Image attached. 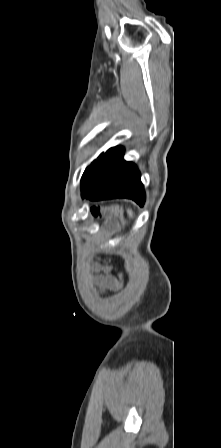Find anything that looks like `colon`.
<instances>
[{
	"label": "colon",
	"mask_w": 221,
	"mask_h": 448,
	"mask_svg": "<svg viewBox=\"0 0 221 448\" xmlns=\"http://www.w3.org/2000/svg\"><path fill=\"white\" fill-rule=\"evenodd\" d=\"M113 213L118 219H121L122 214H121V210L119 208H113Z\"/></svg>",
	"instance_id": "colon-1"
}]
</instances>
